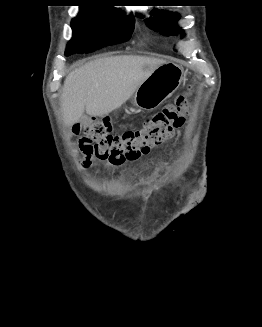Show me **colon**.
I'll use <instances>...</instances> for the list:
<instances>
[{"label": "colon", "instance_id": "1", "mask_svg": "<svg viewBox=\"0 0 262 327\" xmlns=\"http://www.w3.org/2000/svg\"><path fill=\"white\" fill-rule=\"evenodd\" d=\"M190 112V93L176 97L173 103L147 118L140 129L112 133L109 118L89 117L78 124L84 131L79 150L88 157L118 166L147 154L153 147L170 139Z\"/></svg>", "mask_w": 262, "mask_h": 327}]
</instances>
